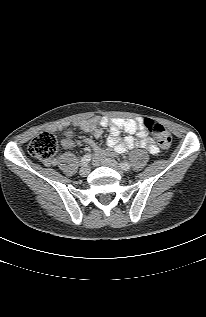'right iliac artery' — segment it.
I'll list each match as a JSON object with an SVG mask.
<instances>
[{
	"label": "right iliac artery",
	"instance_id": "obj_1",
	"mask_svg": "<svg viewBox=\"0 0 206 317\" xmlns=\"http://www.w3.org/2000/svg\"><path fill=\"white\" fill-rule=\"evenodd\" d=\"M91 158H92L91 154L84 155L81 159V164L87 165L90 162Z\"/></svg>",
	"mask_w": 206,
	"mask_h": 317
}]
</instances>
